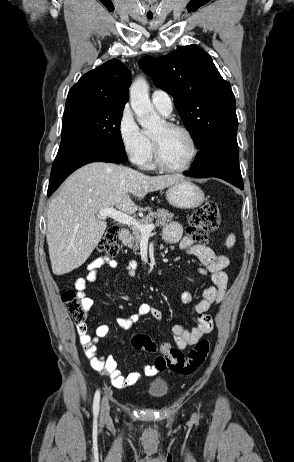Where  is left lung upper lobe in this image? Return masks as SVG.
<instances>
[{
	"instance_id": "left-lung-upper-lobe-1",
	"label": "left lung upper lobe",
	"mask_w": 294,
	"mask_h": 462,
	"mask_svg": "<svg viewBox=\"0 0 294 462\" xmlns=\"http://www.w3.org/2000/svg\"><path fill=\"white\" fill-rule=\"evenodd\" d=\"M140 68L167 91L197 149L236 136L235 97L212 58L197 45L179 47L161 58L145 56Z\"/></svg>"
}]
</instances>
